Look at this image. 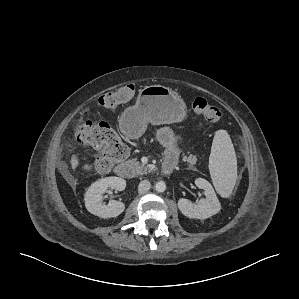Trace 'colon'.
Wrapping results in <instances>:
<instances>
[{"mask_svg":"<svg viewBox=\"0 0 299 299\" xmlns=\"http://www.w3.org/2000/svg\"><path fill=\"white\" fill-rule=\"evenodd\" d=\"M136 91L133 85H125L119 89L102 94L99 104L108 109H114L130 101ZM192 110L202 116L207 122L215 123L221 117L219 108L202 97H188ZM77 140L84 145L99 150V154L89 168L98 173L109 172L115 164L123 160L128 150L114 130L106 122L88 121L76 132Z\"/></svg>","mask_w":299,"mask_h":299,"instance_id":"1","label":"colon"}]
</instances>
